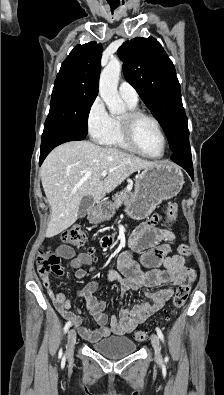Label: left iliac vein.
<instances>
[{
    "mask_svg": "<svg viewBox=\"0 0 224 395\" xmlns=\"http://www.w3.org/2000/svg\"><path fill=\"white\" fill-rule=\"evenodd\" d=\"M151 343L154 348V359L155 362L158 364H161L162 362V355L160 352V340L159 337L156 334L151 335Z\"/></svg>",
    "mask_w": 224,
    "mask_h": 395,
    "instance_id": "left-iliac-vein-1",
    "label": "left iliac vein"
}]
</instances>
